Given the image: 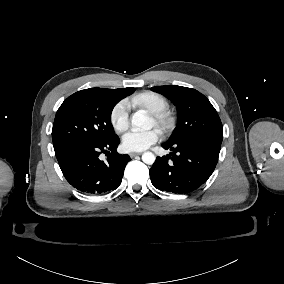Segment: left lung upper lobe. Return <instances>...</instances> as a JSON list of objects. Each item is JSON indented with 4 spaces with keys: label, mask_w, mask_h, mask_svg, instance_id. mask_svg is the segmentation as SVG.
Segmentation results:
<instances>
[{
    "label": "left lung upper lobe",
    "mask_w": 284,
    "mask_h": 284,
    "mask_svg": "<svg viewBox=\"0 0 284 284\" xmlns=\"http://www.w3.org/2000/svg\"><path fill=\"white\" fill-rule=\"evenodd\" d=\"M151 90L171 99L177 107V127L168 142L207 139L221 144L223 139L221 120L203 94L192 88L174 85L155 86Z\"/></svg>",
    "instance_id": "5c2ea615"
}]
</instances>
